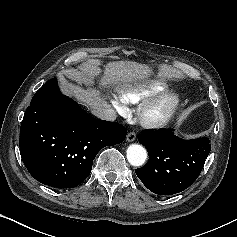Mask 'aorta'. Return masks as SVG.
Returning a JSON list of instances; mask_svg holds the SVG:
<instances>
[{
	"label": "aorta",
	"instance_id": "obj_1",
	"mask_svg": "<svg viewBox=\"0 0 237 237\" xmlns=\"http://www.w3.org/2000/svg\"><path fill=\"white\" fill-rule=\"evenodd\" d=\"M147 158L146 149L138 144H131L127 148V160L128 162L135 167L142 166Z\"/></svg>",
	"mask_w": 237,
	"mask_h": 237
}]
</instances>
